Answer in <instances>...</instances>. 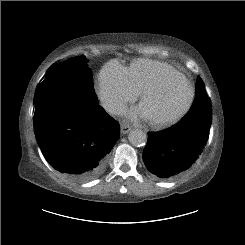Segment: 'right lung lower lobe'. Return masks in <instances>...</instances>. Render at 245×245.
<instances>
[{
  "label": "right lung lower lobe",
  "instance_id": "obj_1",
  "mask_svg": "<svg viewBox=\"0 0 245 245\" xmlns=\"http://www.w3.org/2000/svg\"><path fill=\"white\" fill-rule=\"evenodd\" d=\"M36 132L50 165L70 179L83 182L104 170L120 126L98 105L56 113L37 124Z\"/></svg>",
  "mask_w": 245,
  "mask_h": 245
}]
</instances>
